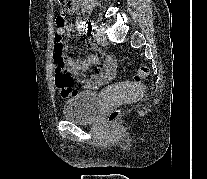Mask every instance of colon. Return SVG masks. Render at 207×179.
Masks as SVG:
<instances>
[{
  "label": "colon",
  "instance_id": "1",
  "mask_svg": "<svg viewBox=\"0 0 207 179\" xmlns=\"http://www.w3.org/2000/svg\"><path fill=\"white\" fill-rule=\"evenodd\" d=\"M58 6L63 10L66 6L68 0H56ZM54 63H55V84L60 95L63 98L70 97L77 93L78 91L74 88L75 79L71 75L70 69L66 62L64 55V44L62 41V36L60 34H55L54 39ZM149 70L147 67L142 66L137 70L135 75V80L141 81L148 76ZM120 115L119 110L111 112L109 115V122L115 123Z\"/></svg>",
  "mask_w": 207,
  "mask_h": 179
}]
</instances>
